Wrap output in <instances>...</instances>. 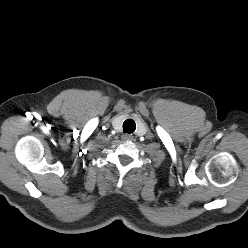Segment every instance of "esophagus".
<instances>
[{
    "label": "esophagus",
    "instance_id": "esophagus-1",
    "mask_svg": "<svg viewBox=\"0 0 248 248\" xmlns=\"http://www.w3.org/2000/svg\"><path fill=\"white\" fill-rule=\"evenodd\" d=\"M122 139H123L124 141H130V140L133 139V137H132L131 135H129V134H124V135L122 136Z\"/></svg>",
    "mask_w": 248,
    "mask_h": 248
}]
</instances>
